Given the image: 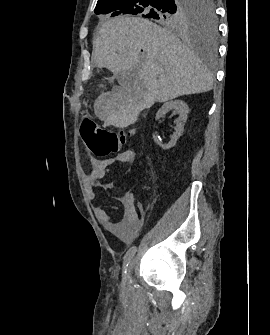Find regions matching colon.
Returning <instances> with one entry per match:
<instances>
[{
    "label": "colon",
    "mask_w": 270,
    "mask_h": 335,
    "mask_svg": "<svg viewBox=\"0 0 270 335\" xmlns=\"http://www.w3.org/2000/svg\"><path fill=\"white\" fill-rule=\"evenodd\" d=\"M132 132H113L86 119L82 124V136L90 153L96 158H106L117 153Z\"/></svg>",
    "instance_id": "colon-1"
}]
</instances>
